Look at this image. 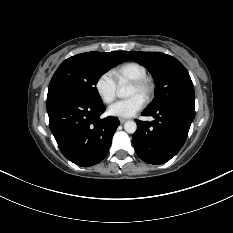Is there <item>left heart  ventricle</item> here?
<instances>
[{
  "mask_svg": "<svg viewBox=\"0 0 233 233\" xmlns=\"http://www.w3.org/2000/svg\"><path fill=\"white\" fill-rule=\"evenodd\" d=\"M133 95H141L140 92L134 87V86H130L127 92V96H133Z\"/></svg>",
  "mask_w": 233,
  "mask_h": 233,
  "instance_id": "left-heart-ventricle-1",
  "label": "left heart ventricle"
}]
</instances>
